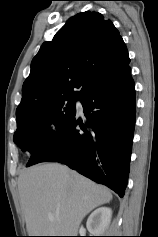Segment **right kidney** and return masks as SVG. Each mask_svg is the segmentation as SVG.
Segmentation results:
<instances>
[{
	"label": "right kidney",
	"mask_w": 158,
	"mask_h": 237,
	"mask_svg": "<svg viewBox=\"0 0 158 237\" xmlns=\"http://www.w3.org/2000/svg\"><path fill=\"white\" fill-rule=\"evenodd\" d=\"M112 217V210L100 207L94 210L87 219V229L93 236H100L108 227Z\"/></svg>",
	"instance_id": "ca27d5eb"
}]
</instances>
